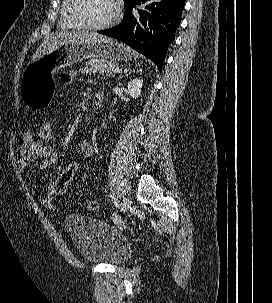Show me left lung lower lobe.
Listing matches in <instances>:
<instances>
[{
	"label": "left lung lower lobe",
	"mask_w": 272,
	"mask_h": 303,
	"mask_svg": "<svg viewBox=\"0 0 272 303\" xmlns=\"http://www.w3.org/2000/svg\"><path fill=\"white\" fill-rule=\"evenodd\" d=\"M148 3L145 10L133 15L136 4ZM184 0H135L125 8L122 22L114 28L99 31L116 38L151 59L162 71L168 46L175 39L181 22Z\"/></svg>",
	"instance_id": "0a47b994"
}]
</instances>
